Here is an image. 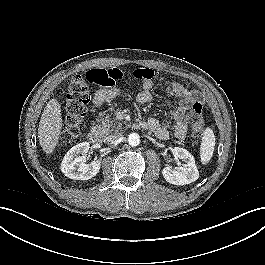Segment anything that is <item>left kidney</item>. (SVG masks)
Returning <instances> with one entry per match:
<instances>
[{"label": "left kidney", "instance_id": "5707ae66", "mask_svg": "<svg viewBox=\"0 0 265 265\" xmlns=\"http://www.w3.org/2000/svg\"><path fill=\"white\" fill-rule=\"evenodd\" d=\"M173 153L186 163V167L163 168L162 174L165 180L174 185H186L196 181L199 178V172L191 153L180 147H175Z\"/></svg>", "mask_w": 265, "mask_h": 265}]
</instances>
